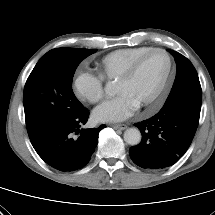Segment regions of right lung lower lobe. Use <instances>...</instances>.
Masks as SVG:
<instances>
[{
	"instance_id": "98d812e1",
	"label": "right lung lower lobe",
	"mask_w": 215,
	"mask_h": 215,
	"mask_svg": "<svg viewBox=\"0 0 215 215\" xmlns=\"http://www.w3.org/2000/svg\"><path fill=\"white\" fill-rule=\"evenodd\" d=\"M89 117L84 108L31 138L38 155L59 171H75L90 160L98 143V134L105 125L93 129H80Z\"/></svg>"
}]
</instances>
